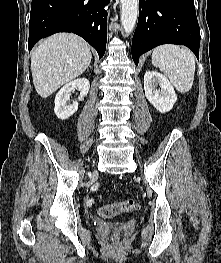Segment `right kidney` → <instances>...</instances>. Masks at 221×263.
<instances>
[{
  "mask_svg": "<svg viewBox=\"0 0 221 263\" xmlns=\"http://www.w3.org/2000/svg\"><path fill=\"white\" fill-rule=\"evenodd\" d=\"M90 82L86 78L76 79L64 85L55 97L54 112L56 116L65 120L72 116L78 110V102L70 103V94L75 89H79V100L83 99L89 92Z\"/></svg>",
  "mask_w": 221,
  "mask_h": 263,
  "instance_id": "1",
  "label": "right kidney"
}]
</instances>
